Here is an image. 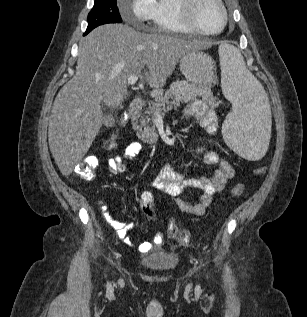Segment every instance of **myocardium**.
<instances>
[{"label":"myocardium","mask_w":307,"mask_h":317,"mask_svg":"<svg viewBox=\"0 0 307 317\" xmlns=\"http://www.w3.org/2000/svg\"><path fill=\"white\" fill-rule=\"evenodd\" d=\"M214 1L219 5L221 9L222 24L219 27V29L215 31H206L199 27L195 18L196 7L201 2V0H179V9L181 12L182 19L191 31L200 35L211 36L219 34L225 29L229 19L228 11L225 7L223 0Z\"/></svg>","instance_id":"obj_1"}]
</instances>
